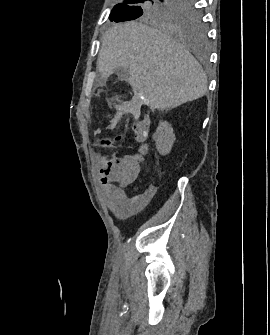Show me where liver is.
<instances>
[{
    "mask_svg": "<svg viewBox=\"0 0 270 335\" xmlns=\"http://www.w3.org/2000/svg\"><path fill=\"white\" fill-rule=\"evenodd\" d=\"M97 68L109 78L128 68V82L151 110L177 108L207 92V78L195 58L166 34L140 22L115 24L103 34Z\"/></svg>",
    "mask_w": 270,
    "mask_h": 335,
    "instance_id": "1",
    "label": "liver"
}]
</instances>
